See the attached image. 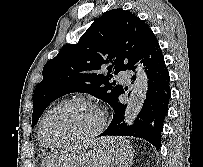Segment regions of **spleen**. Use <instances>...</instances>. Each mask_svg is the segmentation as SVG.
<instances>
[{"instance_id": "3e777b00", "label": "spleen", "mask_w": 203, "mask_h": 167, "mask_svg": "<svg viewBox=\"0 0 203 167\" xmlns=\"http://www.w3.org/2000/svg\"><path fill=\"white\" fill-rule=\"evenodd\" d=\"M118 151L123 154V160L120 155L116 154V167H130L133 158L132 147L127 143L122 145Z\"/></svg>"}]
</instances>
